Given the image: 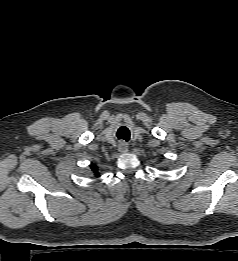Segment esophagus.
I'll return each mask as SVG.
<instances>
[{"mask_svg":"<svg viewBox=\"0 0 238 261\" xmlns=\"http://www.w3.org/2000/svg\"><path fill=\"white\" fill-rule=\"evenodd\" d=\"M129 150V144L125 141H121L118 145V151L120 153H126Z\"/></svg>","mask_w":238,"mask_h":261,"instance_id":"34e87169","label":"esophagus"}]
</instances>
